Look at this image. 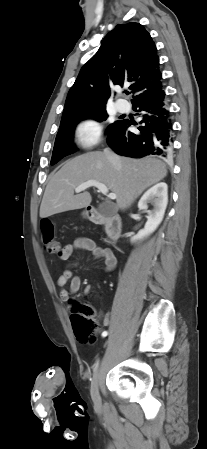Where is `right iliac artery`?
I'll list each match as a JSON object with an SVG mask.
<instances>
[{
  "instance_id": "right-iliac-artery-1",
  "label": "right iliac artery",
  "mask_w": 207,
  "mask_h": 449,
  "mask_svg": "<svg viewBox=\"0 0 207 449\" xmlns=\"http://www.w3.org/2000/svg\"><path fill=\"white\" fill-rule=\"evenodd\" d=\"M108 335V332L107 331H104L103 333H102V336L103 337H106Z\"/></svg>"
}]
</instances>
